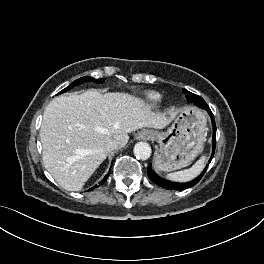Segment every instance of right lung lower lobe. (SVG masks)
I'll list each match as a JSON object with an SVG mask.
<instances>
[{
    "mask_svg": "<svg viewBox=\"0 0 264 264\" xmlns=\"http://www.w3.org/2000/svg\"><path fill=\"white\" fill-rule=\"evenodd\" d=\"M108 176H109V174H107V175L103 178V180L99 182V184L102 185V184L107 180ZM96 187H97V185H95L93 188H90L88 191H91V190H93V189L96 188Z\"/></svg>",
    "mask_w": 264,
    "mask_h": 264,
    "instance_id": "right-lung-lower-lobe-1",
    "label": "right lung lower lobe"
}]
</instances>
